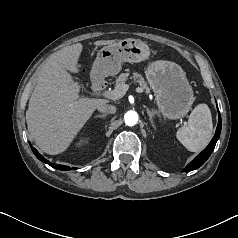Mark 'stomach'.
Here are the masks:
<instances>
[{
    "mask_svg": "<svg viewBox=\"0 0 238 238\" xmlns=\"http://www.w3.org/2000/svg\"><path fill=\"white\" fill-rule=\"evenodd\" d=\"M149 55L150 49L145 42L133 38L120 40L98 52L91 74L97 78L114 76L120 72L123 62L138 63L148 59ZM145 74L157 106L166 118L179 119L189 112L195 98L186 73L178 64L154 61Z\"/></svg>",
    "mask_w": 238,
    "mask_h": 238,
    "instance_id": "obj_1",
    "label": "stomach"
}]
</instances>
